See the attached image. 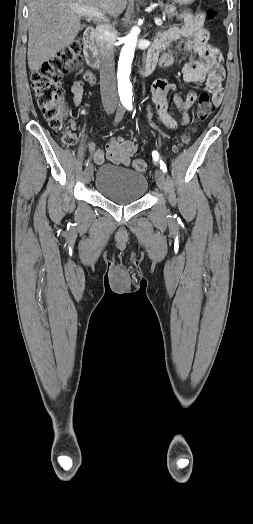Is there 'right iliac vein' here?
<instances>
[{
    "instance_id": "obj_1",
    "label": "right iliac vein",
    "mask_w": 253,
    "mask_h": 524,
    "mask_svg": "<svg viewBox=\"0 0 253 524\" xmlns=\"http://www.w3.org/2000/svg\"><path fill=\"white\" fill-rule=\"evenodd\" d=\"M107 112L110 114L112 113V110L109 109L107 110ZM92 176H93V165L92 164H89L85 170H84V182L86 184H89L91 179H92Z\"/></svg>"
}]
</instances>
